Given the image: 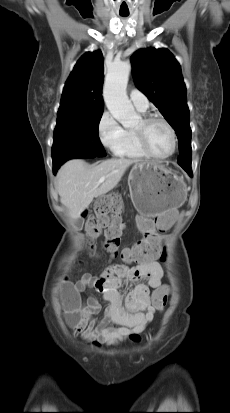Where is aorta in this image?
Here are the masks:
<instances>
[{
	"label": "aorta",
	"mask_w": 230,
	"mask_h": 413,
	"mask_svg": "<svg viewBox=\"0 0 230 413\" xmlns=\"http://www.w3.org/2000/svg\"><path fill=\"white\" fill-rule=\"evenodd\" d=\"M130 71L131 65L127 61L113 64L108 70L103 89L109 112L124 127L134 125L139 119L126 93Z\"/></svg>",
	"instance_id": "1"
}]
</instances>
